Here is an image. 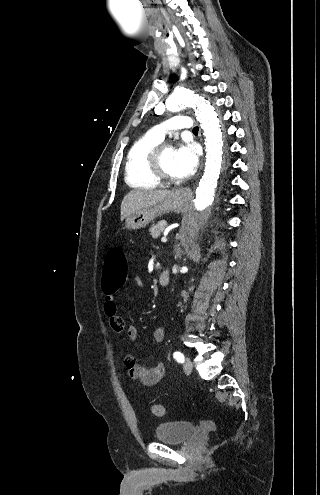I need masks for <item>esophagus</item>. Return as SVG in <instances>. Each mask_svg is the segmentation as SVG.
Listing matches in <instances>:
<instances>
[{
    "label": "esophagus",
    "instance_id": "obj_1",
    "mask_svg": "<svg viewBox=\"0 0 320 495\" xmlns=\"http://www.w3.org/2000/svg\"><path fill=\"white\" fill-rule=\"evenodd\" d=\"M176 193H177V195H179L180 197H183L185 199H189L192 195V191L189 187L181 188Z\"/></svg>",
    "mask_w": 320,
    "mask_h": 495
}]
</instances>
